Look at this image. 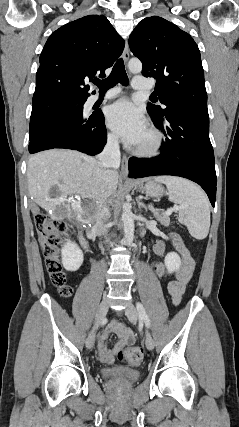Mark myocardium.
I'll return each mask as SVG.
<instances>
[{
  "label": "myocardium",
  "instance_id": "1",
  "mask_svg": "<svg viewBox=\"0 0 239 427\" xmlns=\"http://www.w3.org/2000/svg\"><path fill=\"white\" fill-rule=\"evenodd\" d=\"M147 131L150 135V140L144 145H136L132 151L141 157H154L157 156L163 147V135L154 126H149Z\"/></svg>",
  "mask_w": 239,
  "mask_h": 427
}]
</instances>
